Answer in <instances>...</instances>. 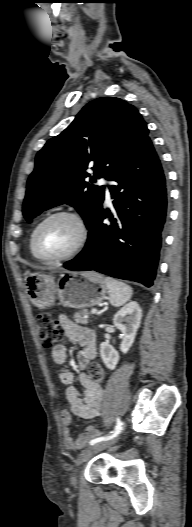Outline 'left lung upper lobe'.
I'll use <instances>...</instances> for the list:
<instances>
[{
  "label": "left lung upper lobe",
  "mask_w": 192,
  "mask_h": 527,
  "mask_svg": "<svg viewBox=\"0 0 192 527\" xmlns=\"http://www.w3.org/2000/svg\"><path fill=\"white\" fill-rule=\"evenodd\" d=\"M138 110L116 97L88 103L58 136L37 153L27 182L23 215L28 222L42 211L67 203L82 215L89 228L104 200V186L86 180L89 164L94 176L113 180L142 144L149 140Z\"/></svg>",
  "instance_id": "obj_1"
}]
</instances>
